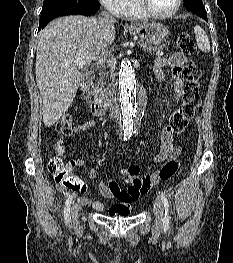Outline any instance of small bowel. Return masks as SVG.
Listing matches in <instances>:
<instances>
[{
  "label": "small bowel",
  "mask_w": 233,
  "mask_h": 263,
  "mask_svg": "<svg viewBox=\"0 0 233 263\" xmlns=\"http://www.w3.org/2000/svg\"><path fill=\"white\" fill-rule=\"evenodd\" d=\"M187 59L183 53L176 52L170 55L168 58H158L154 65L155 74L160 82L167 80L173 83L174 93L177 97H183L184 84L181 78V72ZM168 66L171 69V76L168 79L163 68ZM95 125L93 120H88L83 123L77 124L72 127L71 133H82L90 129ZM68 138L66 135H62L53 147L54 157L61 158L65 152V144ZM180 153V148L174 144L173 134L170 132L168 127L162 130L161 134V150L155 157L153 164L162 163L165 160L173 159ZM85 160H71L69 164V172H73L84 166ZM154 170L148 175L141 176L140 167L137 164L128 165L125 170V186H121L116 181L99 182L98 190L100 194L110 200H115L118 203L112 205L108 209L99 201H92L86 196H81L78 202L83 206H90L96 211L104 212L107 211L110 216H128L131 210V204L138 200L142 195H145L156 183H148L147 179L153 177ZM98 174V169L93 167L89 173L88 178L94 179ZM74 177V176H73ZM63 183H58V188L61 192L67 193L68 190L79 191V189H64Z\"/></svg>",
  "instance_id": "c3829d8e"
}]
</instances>
